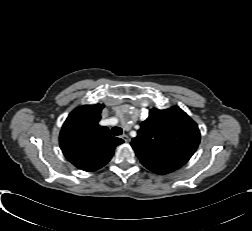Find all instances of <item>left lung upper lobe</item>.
I'll list each match as a JSON object with an SVG mask.
<instances>
[{
	"mask_svg": "<svg viewBox=\"0 0 252 231\" xmlns=\"http://www.w3.org/2000/svg\"><path fill=\"white\" fill-rule=\"evenodd\" d=\"M200 142L197 124L179 107L153 108L131 146L141 163L184 165Z\"/></svg>",
	"mask_w": 252,
	"mask_h": 231,
	"instance_id": "5c2ea615",
	"label": "left lung upper lobe"
}]
</instances>
